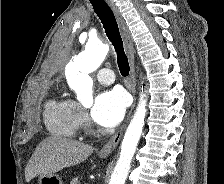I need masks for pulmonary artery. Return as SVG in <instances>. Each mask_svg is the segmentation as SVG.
<instances>
[{
	"label": "pulmonary artery",
	"instance_id": "e3ab8cb5",
	"mask_svg": "<svg viewBox=\"0 0 224 184\" xmlns=\"http://www.w3.org/2000/svg\"><path fill=\"white\" fill-rule=\"evenodd\" d=\"M96 78L103 85H109L115 81L114 73L107 68L100 69L96 74Z\"/></svg>",
	"mask_w": 224,
	"mask_h": 184
}]
</instances>
